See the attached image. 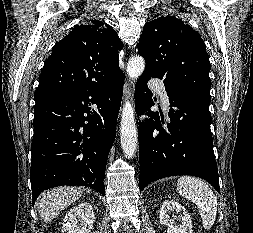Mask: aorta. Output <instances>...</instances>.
Returning a JSON list of instances; mask_svg holds the SVG:
<instances>
[{"instance_id":"762f6f07","label":"aorta","mask_w":253,"mask_h":233,"mask_svg":"<svg viewBox=\"0 0 253 233\" xmlns=\"http://www.w3.org/2000/svg\"><path fill=\"white\" fill-rule=\"evenodd\" d=\"M144 69L145 61L143 57L136 55L129 59L127 74L131 79L140 77ZM120 131L122 149L126 156L132 158L137 149L138 137L134 120V108L128 100L123 106Z\"/></svg>"}]
</instances>
